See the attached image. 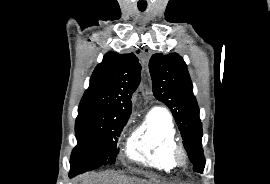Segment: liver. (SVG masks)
I'll use <instances>...</instances> for the list:
<instances>
[{
  "label": "liver",
  "instance_id": "obj_1",
  "mask_svg": "<svg viewBox=\"0 0 270 184\" xmlns=\"http://www.w3.org/2000/svg\"><path fill=\"white\" fill-rule=\"evenodd\" d=\"M81 184H150L147 181L119 175L112 171L89 173L81 178ZM157 184V183H156Z\"/></svg>",
  "mask_w": 270,
  "mask_h": 184
}]
</instances>
